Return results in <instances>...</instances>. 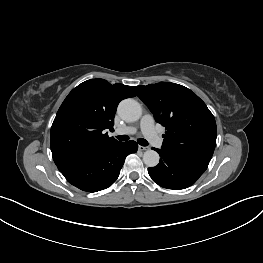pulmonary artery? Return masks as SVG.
<instances>
[{
  "label": "pulmonary artery",
  "mask_w": 263,
  "mask_h": 263,
  "mask_svg": "<svg viewBox=\"0 0 263 263\" xmlns=\"http://www.w3.org/2000/svg\"><path fill=\"white\" fill-rule=\"evenodd\" d=\"M141 131L149 142L155 147L162 146V138L157 133L154 127V119L150 114H146L142 117L140 122ZM135 128H123L116 130L117 134H132L135 133Z\"/></svg>",
  "instance_id": "pulmonary-artery-1"
}]
</instances>
